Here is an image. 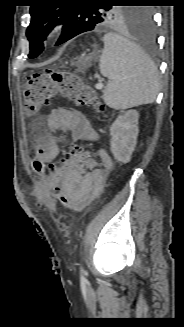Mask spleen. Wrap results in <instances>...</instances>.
<instances>
[{"label":"spleen","mask_w":184,"mask_h":327,"mask_svg":"<svg viewBox=\"0 0 184 327\" xmlns=\"http://www.w3.org/2000/svg\"><path fill=\"white\" fill-rule=\"evenodd\" d=\"M99 69L110 79L104 102L114 109L153 103L159 91L158 71L153 62L130 40L107 33Z\"/></svg>","instance_id":"3e777b00"}]
</instances>
